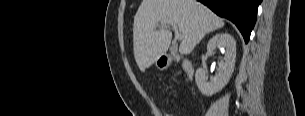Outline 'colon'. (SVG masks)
I'll return each instance as SVG.
<instances>
[{"instance_id":"colon-1","label":"colon","mask_w":305,"mask_h":116,"mask_svg":"<svg viewBox=\"0 0 305 116\" xmlns=\"http://www.w3.org/2000/svg\"><path fill=\"white\" fill-rule=\"evenodd\" d=\"M162 116H174V115L170 112H163Z\"/></svg>"}]
</instances>
